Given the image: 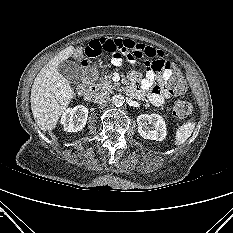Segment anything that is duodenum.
Masks as SVG:
<instances>
[{
	"instance_id": "1",
	"label": "duodenum",
	"mask_w": 233,
	"mask_h": 233,
	"mask_svg": "<svg viewBox=\"0 0 233 233\" xmlns=\"http://www.w3.org/2000/svg\"><path fill=\"white\" fill-rule=\"evenodd\" d=\"M97 93V88L95 85L89 86L87 89L84 91V97L87 100H92Z\"/></svg>"
}]
</instances>
